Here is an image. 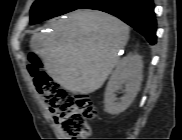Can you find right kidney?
<instances>
[{
	"label": "right kidney",
	"mask_w": 182,
	"mask_h": 140,
	"mask_svg": "<svg viewBox=\"0 0 182 140\" xmlns=\"http://www.w3.org/2000/svg\"><path fill=\"white\" fill-rule=\"evenodd\" d=\"M143 61L140 55L124 57L113 71L104 96L105 110L112 115L123 112L135 99L142 82ZM125 86V94L118 101L116 92Z\"/></svg>",
	"instance_id": "ca27d5eb"
}]
</instances>
